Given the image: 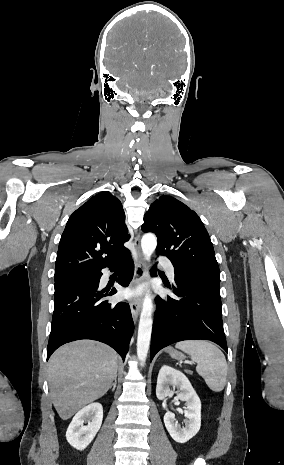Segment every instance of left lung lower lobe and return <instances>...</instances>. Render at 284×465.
I'll return each instance as SVG.
<instances>
[{"label": "left lung lower lobe", "instance_id": "left-lung-lower-lobe-1", "mask_svg": "<svg viewBox=\"0 0 284 465\" xmlns=\"http://www.w3.org/2000/svg\"><path fill=\"white\" fill-rule=\"evenodd\" d=\"M175 297L157 296L150 361L162 348L183 340H210L227 352L222 323L220 285L206 278L175 271ZM177 296V297H176Z\"/></svg>", "mask_w": 284, "mask_h": 465}]
</instances>
